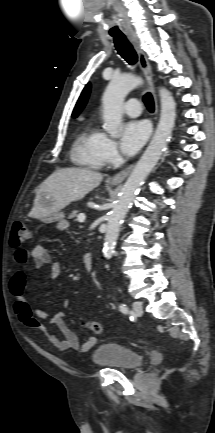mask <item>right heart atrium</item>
<instances>
[{
    "mask_svg": "<svg viewBox=\"0 0 215 433\" xmlns=\"http://www.w3.org/2000/svg\"><path fill=\"white\" fill-rule=\"evenodd\" d=\"M101 152L105 163H110L114 161L118 154L116 143L114 142V140H112L106 135H104L102 141Z\"/></svg>",
    "mask_w": 215,
    "mask_h": 433,
    "instance_id": "1",
    "label": "right heart atrium"
}]
</instances>
